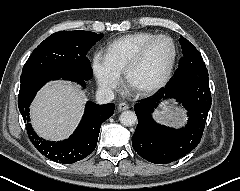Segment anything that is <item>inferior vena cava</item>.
<instances>
[{
    "label": "inferior vena cava",
    "instance_id": "inferior-vena-cava-1",
    "mask_svg": "<svg viewBox=\"0 0 240 191\" xmlns=\"http://www.w3.org/2000/svg\"><path fill=\"white\" fill-rule=\"evenodd\" d=\"M114 99V92L109 88H99L96 92V102L98 104L110 103Z\"/></svg>",
    "mask_w": 240,
    "mask_h": 191
}]
</instances>
